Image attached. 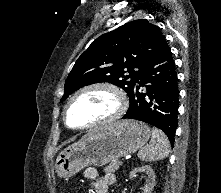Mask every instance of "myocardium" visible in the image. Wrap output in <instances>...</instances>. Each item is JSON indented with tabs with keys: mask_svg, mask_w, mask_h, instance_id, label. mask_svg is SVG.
<instances>
[{
	"mask_svg": "<svg viewBox=\"0 0 221 193\" xmlns=\"http://www.w3.org/2000/svg\"><path fill=\"white\" fill-rule=\"evenodd\" d=\"M96 90L106 91L114 97L115 103H116L114 110L108 115L90 124H87L85 126H81V127L71 126L68 122V110H69L70 105L81 94H84L89 91H96ZM126 109H127L126 96L124 92L118 86L110 82H103V81L93 82V83H89L87 85L80 87L69 97L63 109V120H64L65 125L69 129H72L75 131H88V130H91V129H94L103 125L111 124L117 121L123 116Z\"/></svg>",
	"mask_w": 221,
	"mask_h": 193,
	"instance_id": "f54148a6",
	"label": "myocardium"
}]
</instances>
